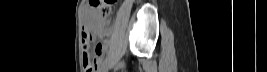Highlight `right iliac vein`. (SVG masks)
<instances>
[{
  "mask_svg": "<svg viewBox=\"0 0 267 72\" xmlns=\"http://www.w3.org/2000/svg\"><path fill=\"white\" fill-rule=\"evenodd\" d=\"M107 70H108V65L105 64V65L101 68L100 72H107Z\"/></svg>",
  "mask_w": 267,
  "mask_h": 72,
  "instance_id": "63e3f726",
  "label": "right iliac vein"
}]
</instances>
